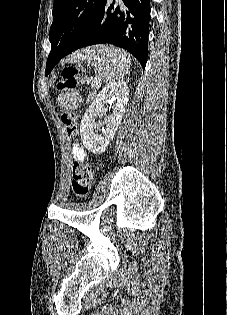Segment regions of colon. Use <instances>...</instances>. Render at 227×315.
Returning <instances> with one entry per match:
<instances>
[{
    "mask_svg": "<svg viewBox=\"0 0 227 315\" xmlns=\"http://www.w3.org/2000/svg\"><path fill=\"white\" fill-rule=\"evenodd\" d=\"M85 81V70L78 66H67L63 70V79L57 86V92L61 94L70 93L78 84ZM62 123L69 136H76L78 133V122L76 116L65 110L61 115ZM92 168L87 163L76 162L73 166L71 188L78 197L88 195L92 183Z\"/></svg>",
    "mask_w": 227,
    "mask_h": 315,
    "instance_id": "1",
    "label": "colon"
}]
</instances>
